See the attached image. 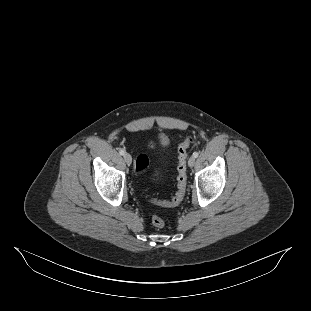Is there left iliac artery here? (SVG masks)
I'll return each instance as SVG.
<instances>
[{"instance_id": "44dca946", "label": "left iliac artery", "mask_w": 311, "mask_h": 311, "mask_svg": "<svg viewBox=\"0 0 311 311\" xmlns=\"http://www.w3.org/2000/svg\"><path fill=\"white\" fill-rule=\"evenodd\" d=\"M198 155H199V153H198V152H194V153H193V157H195V158H197V157H198Z\"/></svg>"}]
</instances>
